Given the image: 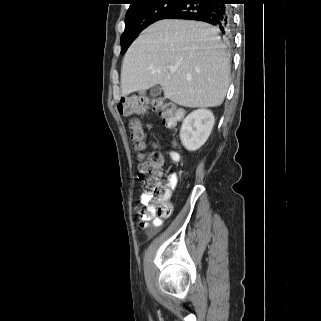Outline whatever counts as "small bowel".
Wrapping results in <instances>:
<instances>
[{
	"instance_id": "c3829d8e",
	"label": "small bowel",
	"mask_w": 321,
	"mask_h": 321,
	"mask_svg": "<svg viewBox=\"0 0 321 321\" xmlns=\"http://www.w3.org/2000/svg\"><path fill=\"white\" fill-rule=\"evenodd\" d=\"M161 161H164V158L161 154H158ZM178 156V155H177ZM178 160V159H177ZM177 175L175 173H170L167 176V183L169 189L168 191V197H170L171 193L175 190L177 185ZM150 195L146 192H142L140 195V203L141 204H147L149 202ZM163 221L161 218L152 216V215H141V225L144 227L150 234H154L157 229L162 225Z\"/></svg>"
}]
</instances>
